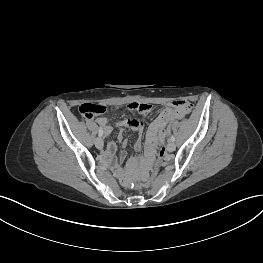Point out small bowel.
<instances>
[{"instance_id":"1","label":"small bowel","mask_w":263,"mask_h":263,"mask_svg":"<svg viewBox=\"0 0 263 263\" xmlns=\"http://www.w3.org/2000/svg\"><path fill=\"white\" fill-rule=\"evenodd\" d=\"M138 103V102H136ZM185 115V110L182 107L175 108L171 104L170 108L162 110L155 120L150 125L147 136H146V156L144 163L146 164L144 173L147 176H150L153 171L156 163L160 160L159 155L157 154L156 146L163 142V139L166 135L165 128L168 124L174 120L180 119ZM99 127L102 128L104 136H108L112 132V127L108 124V121L105 117H99L96 120ZM116 126L121 129L130 128L138 133H141L144 128V123L140 119H121L116 122ZM123 140L122 132L118 135V141ZM135 148L137 150L142 149V143L140 141L136 142ZM116 152V144L114 142H109L106 145L104 150V157L107 159H113ZM127 155V151L124 150L121 153V158L124 159ZM121 176H124L122 169L119 170Z\"/></svg>"}]
</instances>
